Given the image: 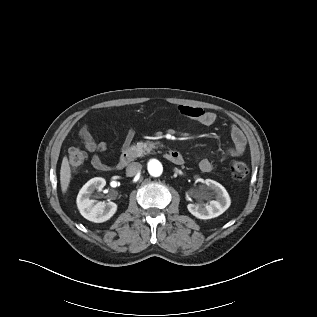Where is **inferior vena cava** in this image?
<instances>
[{"mask_svg":"<svg viewBox=\"0 0 317 317\" xmlns=\"http://www.w3.org/2000/svg\"><path fill=\"white\" fill-rule=\"evenodd\" d=\"M142 169V165L138 162H133L129 164L126 168V175L132 177L139 173Z\"/></svg>","mask_w":317,"mask_h":317,"instance_id":"obj_1","label":"inferior vena cava"}]
</instances>
